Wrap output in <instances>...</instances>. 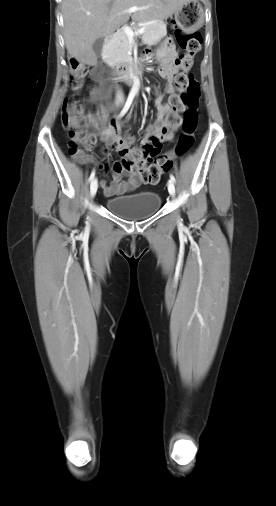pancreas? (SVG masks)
I'll list each match as a JSON object with an SVG mask.
<instances>
[{
	"mask_svg": "<svg viewBox=\"0 0 276 506\" xmlns=\"http://www.w3.org/2000/svg\"><path fill=\"white\" fill-rule=\"evenodd\" d=\"M143 27L145 31L141 38L144 44H152L166 34V26L162 22L145 24ZM129 51V37L124 31H119L113 35L112 40L105 49V61L112 63L124 62L129 58Z\"/></svg>",
	"mask_w": 276,
	"mask_h": 506,
	"instance_id": "cf45deb5",
	"label": "pancreas"
}]
</instances>
